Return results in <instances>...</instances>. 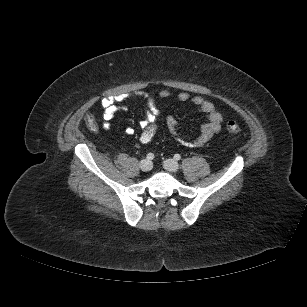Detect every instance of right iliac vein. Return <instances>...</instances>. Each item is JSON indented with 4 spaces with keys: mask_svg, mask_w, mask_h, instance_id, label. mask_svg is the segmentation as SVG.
<instances>
[{
    "mask_svg": "<svg viewBox=\"0 0 307 307\" xmlns=\"http://www.w3.org/2000/svg\"><path fill=\"white\" fill-rule=\"evenodd\" d=\"M139 167L142 171L148 172L152 169V162L147 159H144L140 162Z\"/></svg>",
    "mask_w": 307,
    "mask_h": 307,
    "instance_id": "right-iliac-vein-1",
    "label": "right iliac vein"
}]
</instances>
